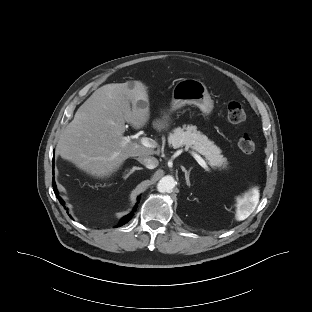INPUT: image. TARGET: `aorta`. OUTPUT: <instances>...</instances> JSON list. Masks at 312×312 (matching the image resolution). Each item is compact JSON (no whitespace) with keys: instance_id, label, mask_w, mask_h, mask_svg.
<instances>
[{"instance_id":"1","label":"aorta","mask_w":312,"mask_h":312,"mask_svg":"<svg viewBox=\"0 0 312 312\" xmlns=\"http://www.w3.org/2000/svg\"><path fill=\"white\" fill-rule=\"evenodd\" d=\"M174 187H175V180L172 176H165L161 178L157 184V190L160 193L171 192Z\"/></svg>"}]
</instances>
